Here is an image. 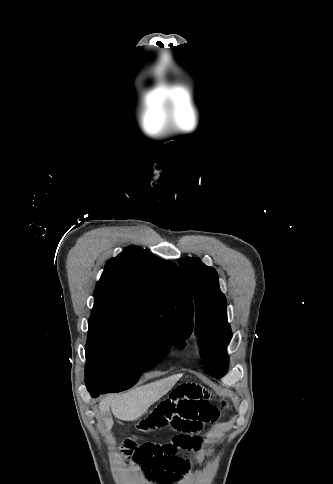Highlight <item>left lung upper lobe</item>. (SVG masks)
<instances>
[{
    "mask_svg": "<svg viewBox=\"0 0 333 484\" xmlns=\"http://www.w3.org/2000/svg\"><path fill=\"white\" fill-rule=\"evenodd\" d=\"M182 274L192 289L196 306V332L206 373L221 377L228 367L226 347L232 337L227 322V304L220 291L218 274L199 258L178 260Z\"/></svg>",
    "mask_w": 333,
    "mask_h": 484,
    "instance_id": "obj_1",
    "label": "left lung upper lobe"
}]
</instances>
